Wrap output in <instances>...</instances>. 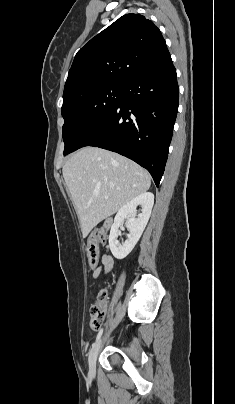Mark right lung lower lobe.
<instances>
[{
    "instance_id": "right-lung-lower-lobe-1",
    "label": "right lung lower lobe",
    "mask_w": 235,
    "mask_h": 404,
    "mask_svg": "<svg viewBox=\"0 0 235 404\" xmlns=\"http://www.w3.org/2000/svg\"><path fill=\"white\" fill-rule=\"evenodd\" d=\"M179 88L171 56L129 78L117 106L75 150L96 146L117 152L162 178L178 110Z\"/></svg>"
}]
</instances>
